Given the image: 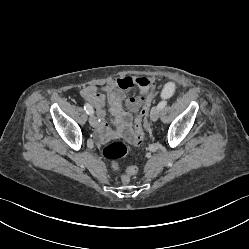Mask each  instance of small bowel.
Listing matches in <instances>:
<instances>
[{
  "label": "small bowel",
  "instance_id": "c3829d8e",
  "mask_svg": "<svg viewBox=\"0 0 249 249\" xmlns=\"http://www.w3.org/2000/svg\"><path fill=\"white\" fill-rule=\"evenodd\" d=\"M138 87L140 95L128 97L127 89ZM155 82L146 77H118L103 87L104 94L98 92L96 86L89 85L82 89L81 95L92 104L97 114V135L100 141L124 136L134 142V133L130 127V113L128 107L137 111L142 105L150 106L154 96ZM108 100L110 112L113 116L115 129L111 130L106 120L105 101Z\"/></svg>",
  "mask_w": 249,
  "mask_h": 249
}]
</instances>
